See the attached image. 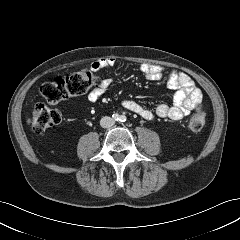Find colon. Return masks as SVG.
I'll use <instances>...</instances> for the list:
<instances>
[{
    "mask_svg": "<svg viewBox=\"0 0 240 240\" xmlns=\"http://www.w3.org/2000/svg\"><path fill=\"white\" fill-rule=\"evenodd\" d=\"M96 77L89 71L73 72L57 76L42 84L41 95L51 104L59 103L69 97L86 94L96 85ZM62 113L58 109L50 108L45 104H37L33 111L29 124L36 133H42L50 127L60 124ZM205 125V113L202 107L197 108L188 121V129L191 132H199Z\"/></svg>",
    "mask_w": 240,
    "mask_h": 240,
    "instance_id": "colon-1",
    "label": "colon"
}]
</instances>
